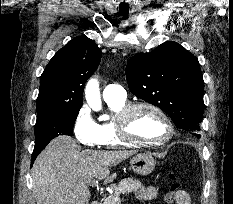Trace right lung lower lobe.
Returning a JSON list of instances; mask_svg holds the SVG:
<instances>
[{
	"label": "right lung lower lobe",
	"mask_w": 233,
	"mask_h": 204,
	"mask_svg": "<svg viewBox=\"0 0 233 204\" xmlns=\"http://www.w3.org/2000/svg\"><path fill=\"white\" fill-rule=\"evenodd\" d=\"M45 146H43V145H41L40 147L35 146L33 154H32L31 164H33L34 160L36 159L38 154L45 148Z\"/></svg>",
	"instance_id": "obj_1"
}]
</instances>
